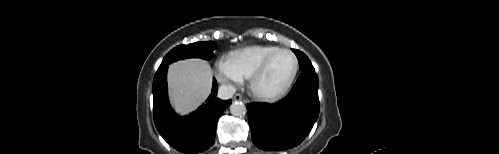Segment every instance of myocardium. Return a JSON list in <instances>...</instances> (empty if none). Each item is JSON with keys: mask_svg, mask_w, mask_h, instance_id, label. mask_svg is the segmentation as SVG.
<instances>
[{"mask_svg": "<svg viewBox=\"0 0 499 154\" xmlns=\"http://www.w3.org/2000/svg\"><path fill=\"white\" fill-rule=\"evenodd\" d=\"M280 53H287L291 56V58L293 60V68L291 70V73L289 74V76L286 79V81L284 82V84L278 90H276L272 93H263L257 88V84H258L259 80L263 77V75L266 73L272 60ZM298 67H299V64H298L297 57L295 56V54L291 50L285 49V48H279V49L275 50L274 52H272L270 55H268L263 60V62L260 64V66L250 76L249 88H250L251 93L259 100L266 101V102H272V101L279 99L287 92V90L292 85V83L296 77V74L298 72Z\"/></svg>", "mask_w": 499, "mask_h": 154, "instance_id": "myocardium-1", "label": "myocardium"}]
</instances>
